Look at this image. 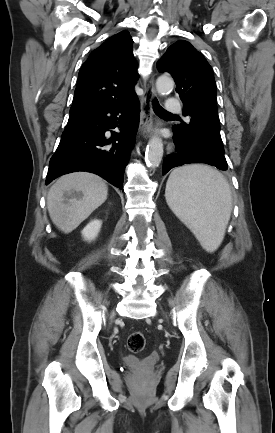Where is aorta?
<instances>
[{"mask_svg": "<svg viewBox=\"0 0 275 433\" xmlns=\"http://www.w3.org/2000/svg\"><path fill=\"white\" fill-rule=\"evenodd\" d=\"M174 87V81L168 76H160L156 81V88L159 94L169 92ZM163 157V142L159 137H152L148 143L145 161L148 166L156 168L160 165Z\"/></svg>", "mask_w": 275, "mask_h": 433, "instance_id": "aorta-1", "label": "aorta"}]
</instances>
